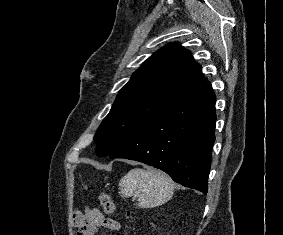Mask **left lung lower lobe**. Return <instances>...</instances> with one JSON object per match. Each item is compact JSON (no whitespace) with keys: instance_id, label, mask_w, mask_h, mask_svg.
I'll return each instance as SVG.
<instances>
[{"instance_id":"0a47b994","label":"left lung lower lobe","mask_w":283,"mask_h":235,"mask_svg":"<svg viewBox=\"0 0 283 235\" xmlns=\"http://www.w3.org/2000/svg\"><path fill=\"white\" fill-rule=\"evenodd\" d=\"M215 101L211 84L206 82L152 120L110 158L143 162L185 187L207 193L215 141Z\"/></svg>"}]
</instances>
